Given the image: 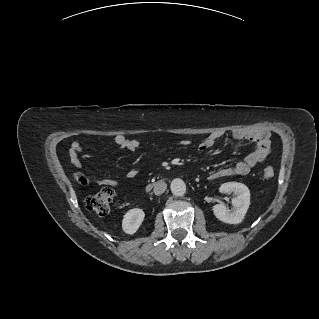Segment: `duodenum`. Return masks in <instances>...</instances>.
<instances>
[{
    "mask_svg": "<svg viewBox=\"0 0 319 319\" xmlns=\"http://www.w3.org/2000/svg\"><path fill=\"white\" fill-rule=\"evenodd\" d=\"M152 188V184L147 185L146 189L149 191Z\"/></svg>",
    "mask_w": 319,
    "mask_h": 319,
    "instance_id": "obj_1",
    "label": "duodenum"
}]
</instances>
